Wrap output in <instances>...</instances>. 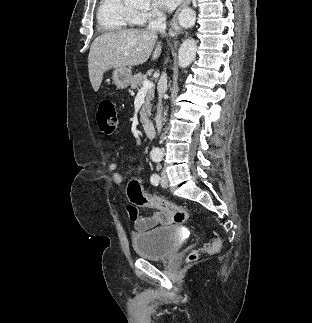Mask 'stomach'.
Listing matches in <instances>:
<instances>
[{
    "mask_svg": "<svg viewBox=\"0 0 312 323\" xmlns=\"http://www.w3.org/2000/svg\"><path fill=\"white\" fill-rule=\"evenodd\" d=\"M132 78V72L129 68H115L112 76L113 84L120 88V90H124V88H128Z\"/></svg>",
    "mask_w": 312,
    "mask_h": 323,
    "instance_id": "0dacf381",
    "label": "stomach"
}]
</instances>
